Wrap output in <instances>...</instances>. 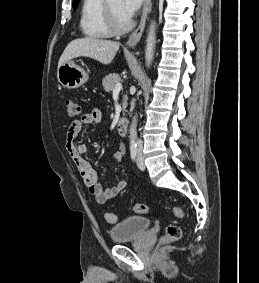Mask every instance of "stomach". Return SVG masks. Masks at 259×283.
Wrapping results in <instances>:
<instances>
[{
  "mask_svg": "<svg viewBox=\"0 0 259 283\" xmlns=\"http://www.w3.org/2000/svg\"><path fill=\"white\" fill-rule=\"evenodd\" d=\"M57 79L63 87L75 89L86 83L89 75L73 60H69L58 68Z\"/></svg>",
  "mask_w": 259,
  "mask_h": 283,
  "instance_id": "obj_1",
  "label": "stomach"
}]
</instances>
